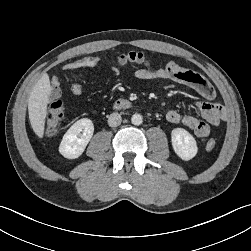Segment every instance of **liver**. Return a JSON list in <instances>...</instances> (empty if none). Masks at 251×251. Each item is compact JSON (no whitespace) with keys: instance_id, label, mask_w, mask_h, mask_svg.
Here are the masks:
<instances>
[{"instance_id":"obj_1","label":"liver","mask_w":251,"mask_h":251,"mask_svg":"<svg viewBox=\"0 0 251 251\" xmlns=\"http://www.w3.org/2000/svg\"><path fill=\"white\" fill-rule=\"evenodd\" d=\"M51 94L50 79L47 73L43 74L34 85L28 99V114L31 127L39 138H43L47 105Z\"/></svg>"}]
</instances>
